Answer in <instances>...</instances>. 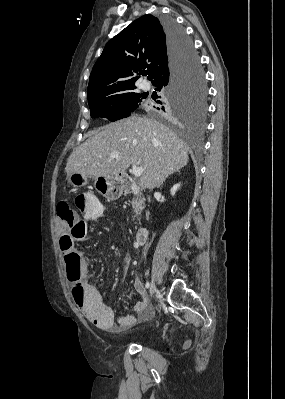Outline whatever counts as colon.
<instances>
[{
	"instance_id": "1",
	"label": "colon",
	"mask_w": 285,
	"mask_h": 399,
	"mask_svg": "<svg viewBox=\"0 0 285 399\" xmlns=\"http://www.w3.org/2000/svg\"><path fill=\"white\" fill-rule=\"evenodd\" d=\"M87 203L86 195H77L73 200V205L68 202H61L57 206L59 217L60 246L65 261L72 263L77 259L76 244L82 240L84 233L78 220L76 210H81ZM69 283L75 289L76 300L82 298L84 294L83 284L79 281V273L71 271L68 273Z\"/></svg>"
}]
</instances>
